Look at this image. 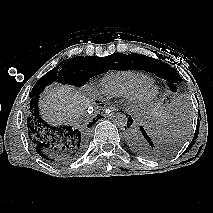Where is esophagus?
Returning <instances> with one entry per match:
<instances>
[{
    "instance_id": "1",
    "label": "esophagus",
    "mask_w": 213,
    "mask_h": 213,
    "mask_svg": "<svg viewBox=\"0 0 213 213\" xmlns=\"http://www.w3.org/2000/svg\"><path fill=\"white\" fill-rule=\"evenodd\" d=\"M119 112V109L118 108H116V107H109L108 109H106V114L107 115H113V114H115V113H118Z\"/></svg>"
}]
</instances>
